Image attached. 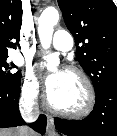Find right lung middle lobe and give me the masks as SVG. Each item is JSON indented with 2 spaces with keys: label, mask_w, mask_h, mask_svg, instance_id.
I'll return each mask as SVG.
<instances>
[{
  "label": "right lung middle lobe",
  "mask_w": 117,
  "mask_h": 136,
  "mask_svg": "<svg viewBox=\"0 0 117 136\" xmlns=\"http://www.w3.org/2000/svg\"><path fill=\"white\" fill-rule=\"evenodd\" d=\"M8 56L0 57V86L14 85L20 82L21 73L11 72L12 68H16L14 64L8 65L6 59Z\"/></svg>",
  "instance_id": "right-lung-middle-lobe-1"
}]
</instances>
